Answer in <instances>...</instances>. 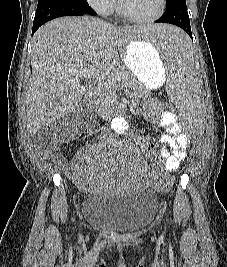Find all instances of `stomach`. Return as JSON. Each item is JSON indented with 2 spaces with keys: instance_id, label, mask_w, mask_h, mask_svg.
Returning <instances> with one entry per match:
<instances>
[{
  "instance_id": "stomach-1",
  "label": "stomach",
  "mask_w": 227,
  "mask_h": 267,
  "mask_svg": "<svg viewBox=\"0 0 227 267\" xmlns=\"http://www.w3.org/2000/svg\"><path fill=\"white\" fill-rule=\"evenodd\" d=\"M165 60L161 55H155V47H149V43H139L135 39L128 42L123 55L125 66L140 83L149 88L163 84V76H166L168 71Z\"/></svg>"
}]
</instances>
